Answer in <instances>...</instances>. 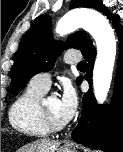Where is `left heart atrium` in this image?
<instances>
[{
	"mask_svg": "<svg viewBox=\"0 0 123 152\" xmlns=\"http://www.w3.org/2000/svg\"><path fill=\"white\" fill-rule=\"evenodd\" d=\"M61 117L68 122L75 114L78 107V96L75 88L70 83H65L59 99Z\"/></svg>",
	"mask_w": 123,
	"mask_h": 152,
	"instance_id": "39dd6f15",
	"label": "left heart atrium"
}]
</instances>
